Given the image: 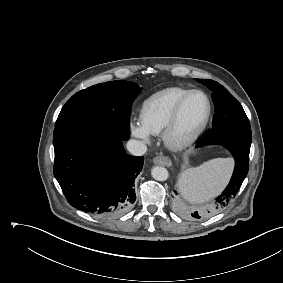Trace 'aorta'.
I'll use <instances>...</instances> for the list:
<instances>
[{
    "label": "aorta",
    "mask_w": 283,
    "mask_h": 283,
    "mask_svg": "<svg viewBox=\"0 0 283 283\" xmlns=\"http://www.w3.org/2000/svg\"><path fill=\"white\" fill-rule=\"evenodd\" d=\"M151 175L157 181H165L169 176L167 169L161 166L152 168Z\"/></svg>",
    "instance_id": "aorta-1"
}]
</instances>
